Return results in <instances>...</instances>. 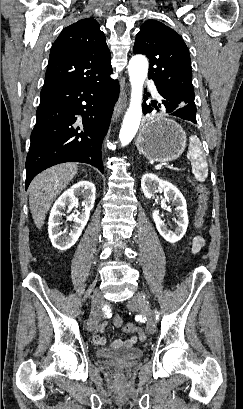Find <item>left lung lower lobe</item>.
<instances>
[{
  "label": "left lung lower lobe",
  "mask_w": 243,
  "mask_h": 409,
  "mask_svg": "<svg viewBox=\"0 0 243 409\" xmlns=\"http://www.w3.org/2000/svg\"><path fill=\"white\" fill-rule=\"evenodd\" d=\"M157 90L162 96V100L160 102H152L150 105H143L144 113L156 109L157 111H165L195 124L197 123L196 106L192 99L160 87H157Z\"/></svg>",
  "instance_id": "left-lung-lower-lobe-1"
}]
</instances>
